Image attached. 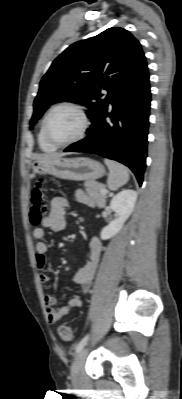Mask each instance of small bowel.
<instances>
[{
	"mask_svg": "<svg viewBox=\"0 0 182 399\" xmlns=\"http://www.w3.org/2000/svg\"><path fill=\"white\" fill-rule=\"evenodd\" d=\"M77 199L91 207L95 206V201L82 191L76 193ZM68 201L66 198L56 196L50 202V212L47 217L42 221L40 227L33 230V237L38 240L35 246V261L40 270H44L47 266V250L48 246L43 241L45 238V230L50 229L54 232H60L66 227V208ZM102 252L101 241L94 237L89 243V258L87 263L80 268L74 275L73 280L78 284L84 293L90 290L92 280L94 278L98 262ZM39 279L43 283L49 281V276L45 272H40ZM45 301L47 304V318L49 323H58L69 311L74 307L82 306V299L79 296H74L69 302L61 307L56 306V299L52 295H46Z\"/></svg>",
	"mask_w": 182,
	"mask_h": 399,
	"instance_id": "obj_1",
	"label": "small bowel"
}]
</instances>
